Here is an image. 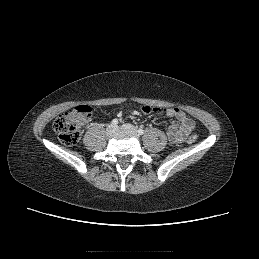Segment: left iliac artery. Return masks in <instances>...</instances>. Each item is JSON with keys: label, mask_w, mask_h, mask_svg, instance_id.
Wrapping results in <instances>:
<instances>
[{"label": "left iliac artery", "mask_w": 259, "mask_h": 259, "mask_svg": "<svg viewBox=\"0 0 259 259\" xmlns=\"http://www.w3.org/2000/svg\"><path fill=\"white\" fill-rule=\"evenodd\" d=\"M138 133H139L140 135H142V134H144V130H143V129H138Z\"/></svg>", "instance_id": "obj_1"}]
</instances>
